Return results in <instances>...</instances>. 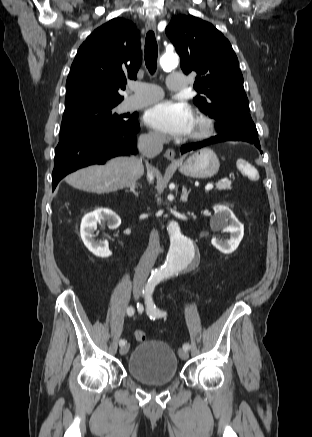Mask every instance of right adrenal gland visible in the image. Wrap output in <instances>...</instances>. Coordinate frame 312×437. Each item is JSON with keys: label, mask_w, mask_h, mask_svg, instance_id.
Segmentation results:
<instances>
[{"label": "right adrenal gland", "mask_w": 312, "mask_h": 437, "mask_svg": "<svg viewBox=\"0 0 312 437\" xmlns=\"http://www.w3.org/2000/svg\"><path fill=\"white\" fill-rule=\"evenodd\" d=\"M138 187L142 188L141 184L135 183V184H133L132 186L129 187V191L132 192L137 197L139 196V193L136 191V188H138Z\"/></svg>", "instance_id": "2a0ac1e0"}]
</instances>
